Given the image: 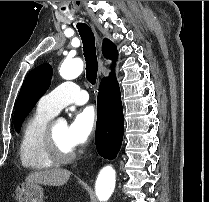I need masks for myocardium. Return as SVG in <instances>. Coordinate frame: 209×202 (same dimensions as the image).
Wrapping results in <instances>:
<instances>
[{"mask_svg": "<svg viewBox=\"0 0 209 202\" xmlns=\"http://www.w3.org/2000/svg\"><path fill=\"white\" fill-rule=\"evenodd\" d=\"M44 144L50 156L58 162H69L76 156L75 149H63L54 133V122H50L44 132Z\"/></svg>", "mask_w": 209, "mask_h": 202, "instance_id": "myocardium-1", "label": "myocardium"}]
</instances>
